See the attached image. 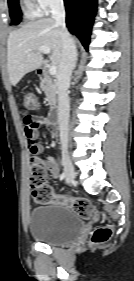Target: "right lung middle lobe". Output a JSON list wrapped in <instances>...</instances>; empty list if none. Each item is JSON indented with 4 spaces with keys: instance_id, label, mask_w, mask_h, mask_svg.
Here are the masks:
<instances>
[{
    "instance_id": "right-lung-middle-lobe-1",
    "label": "right lung middle lobe",
    "mask_w": 134,
    "mask_h": 281,
    "mask_svg": "<svg viewBox=\"0 0 134 281\" xmlns=\"http://www.w3.org/2000/svg\"><path fill=\"white\" fill-rule=\"evenodd\" d=\"M9 13L12 19V25H17L21 21V10L18 4V0H8Z\"/></svg>"
}]
</instances>
